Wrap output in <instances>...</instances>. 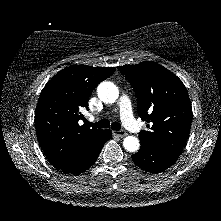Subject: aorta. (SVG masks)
<instances>
[{
    "mask_svg": "<svg viewBox=\"0 0 221 221\" xmlns=\"http://www.w3.org/2000/svg\"><path fill=\"white\" fill-rule=\"evenodd\" d=\"M97 94L99 99L104 103H114L119 96V90L115 84L109 81H104L97 87ZM125 150L135 152L140 147V142L137 137L127 136L123 140Z\"/></svg>",
    "mask_w": 221,
    "mask_h": 221,
    "instance_id": "obj_1",
    "label": "aorta"
}]
</instances>
